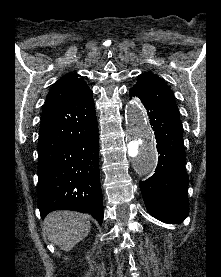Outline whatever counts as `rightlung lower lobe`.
<instances>
[{"mask_svg": "<svg viewBox=\"0 0 221 277\" xmlns=\"http://www.w3.org/2000/svg\"><path fill=\"white\" fill-rule=\"evenodd\" d=\"M98 125L93 93L45 104L38 142V207L90 213L102 224Z\"/></svg>", "mask_w": 221, "mask_h": 277, "instance_id": "obj_1", "label": "right lung lower lobe"}]
</instances>
